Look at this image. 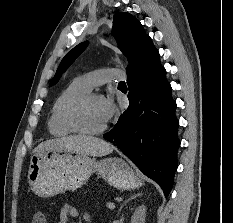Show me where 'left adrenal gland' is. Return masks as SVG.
<instances>
[{
	"label": "left adrenal gland",
	"instance_id": "1",
	"mask_svg": "<svg viewBox=\"0 0 233 223\" xmlns=\"http://www.w3.org/2000/svg\"><path fill=\"white\" fill-rule=\"evenodd\" d=\"M139 195H142V193H134V195H130V197H128V199H125V201H123L122 205H120L117 215H119L122 207H124V205H126V203H128V201H130V199H134V197H139Z\"/></svg>",
	"mask_w": 233,
	"mask_h": 223
}]
</instances>
